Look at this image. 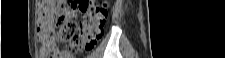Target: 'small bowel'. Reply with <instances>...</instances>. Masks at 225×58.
I'll return each instance as SVG.
<instances>
[{
    "label": "small bowel",
    "mask_w": 225,
    "mask_h": 58,
    "mask_svg": "<svg viewBox=\"0 0 225 58\" xmlns=\"http://www.w3.org/2000/svg\"><path fill=\"white\" fill-rule=\"evenodd\" d=\"M64 58H70V57H68V56H65Z\"/></svg>",
    "instance_id": "obj_1"
}]
</instances>
